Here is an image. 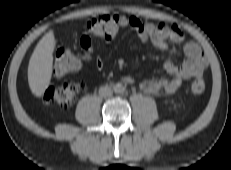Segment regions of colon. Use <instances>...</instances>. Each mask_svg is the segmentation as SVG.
I'll return each instance as SVG.
<instances>
[{"mask_svg":"<svg viewBox=\"0 0 231 170\" xmlns=\"http://www.w3.org/2000/svg\"><path fill=\"white\" fill-rule=\"evenodd\" d=\"M130 18L118 14H105L94 17L87 23L89 34L101 38H113L118 31L128 26ZM80 59L68 48L62 47L56 51L54 62V73L64 76L79 69ZM205 82L202 78L195 79L190 87L194 95L202 94L205 90ZM82 83H65L57 87L48 88L41 96V101L63 108L70 107L83 91Z\"/></svg>","mask_w":231,"mask_h":170,"instance_id":"colon-1","label":"colon"}]
</instances>
